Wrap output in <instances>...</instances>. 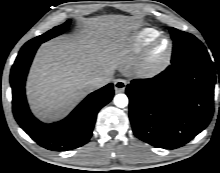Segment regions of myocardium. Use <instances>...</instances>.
<instances>
[{"instance_id":"myocardium-1","label":"myocardium","mask_w":220,"mask_h":173,"mask_svg":"<svg viewBox=\"0 0 220 173\" xmlns=\"http://www.w3.org/2000/svg\"><path fill=\"white\" fill-rule=\"evenodd\" d=\"M165 43V51L159 59L154 58V53L161 43ZM173 45L166 36H158L150 42L139 54L137 61V72L144 77L155 76L169 64L172 56Z\"/></svg>"}]
</instances>
